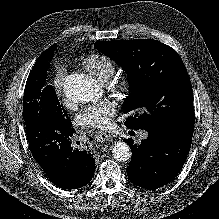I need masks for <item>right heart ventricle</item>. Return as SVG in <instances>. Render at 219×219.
Returning a JSON list of instances; mask_svg holds the SVG:
<instances>
[{"mask_svg": "<svg viewBox=\"0 0 219 219\" xmlns=\"http://www.w3.org/2000/svg\"><path fill=\"white\" fill-rule=\"evenodd\" d=\"M82 65L102 83L107 82L116 71L114 61L104 54H92L83 59Z\"/></svg>", "mask_w": 219, "mask_h": 219, "instance_id": "obj_1", "label": "right heart ventricle"}]
</instances>
